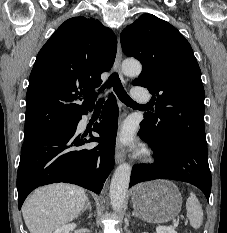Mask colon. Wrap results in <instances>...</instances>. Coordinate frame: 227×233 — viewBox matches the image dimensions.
I'll return each mask as SVG.
<instances>
[{"label": "colon", "mask_w": 227, "mask_h": 233, "mask_svg": "<svg viewBox=\"0 0 227 233\" xmlns=\"http://www.w3.org/2000/svg\"><path fill=\"white\" fill-rule=\"evenodd\" d=\"M186 233H191L190 231H187Z\"/></svg>", "instance_id": "1"}]
</instances>
